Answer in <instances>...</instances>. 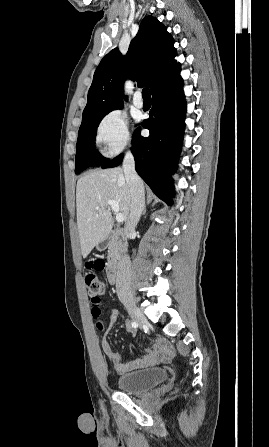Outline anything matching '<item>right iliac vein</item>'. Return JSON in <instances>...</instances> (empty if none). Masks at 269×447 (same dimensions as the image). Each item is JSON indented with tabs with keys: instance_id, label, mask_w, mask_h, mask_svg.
<instances>
[{
	"instance_id": "1",
	"label": "right iliac vein",
	"mask_w": 269,
	"mask_h": 447,
	"mask_svg": "<svg viewBox=\"0 0 269 447\" xmlns=\"http://www.w3.org/2000/svg\"><path fill=\"white\" fill-rule=\"evenodd\" d=\"M124 305L128 310L130 317L140 326H143L147 323V318L143 315L141 310L135 305L134 298L125 301Z\"/></svg>"
}]
</instances>
